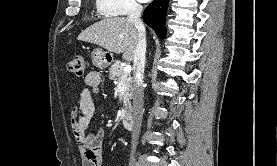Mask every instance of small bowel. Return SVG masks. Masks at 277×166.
Masks as SVG:
<instances>
[{
	"label": "small bowel",
	"instance_id": "c3829d8e",
	"mask_svg": "<svg viewBox=\"0 0 277 166\" xmlns=\"http://www.w3.org/2000/svg\"><path fill=\"white\" fill-rule=\"evenodd\" d=\"M101 77L98 72H89L84 78L78 106L71 111V130L78 145L82 166H102V149L105 130L99 128L87 133L91 118L95 113L93 95L99 92Z\"/></svg>",
	"mask_w": 277,
	"mask_h": 166
}]
</instances>
